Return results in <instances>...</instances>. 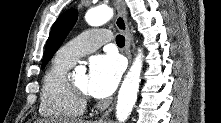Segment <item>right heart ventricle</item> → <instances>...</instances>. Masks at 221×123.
I'll use <instances>...</instances> for the list:
<instances>
[{
    "label": "right heart ventricle",
    "mask_w": 221,
    "mask_h": 123,
    "mask_svg": "<svg viewBox=\"0 0 221 123\" xmlns=\"http://www.w3.org/2000/svg\"><path fill=\"white\" fill-rule=\"evenodd\" d=\"M73 64L56 56L43 76L39 112L51 119L65 120L83 115L85 103L69 87L67 72Z\"/></svg>",
    "instance_id": "right-heart-ventricle-1"
}]
</instances>
